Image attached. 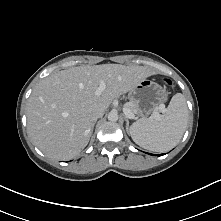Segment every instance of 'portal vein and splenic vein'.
Listing matches in <instances>:
<instances>
[{
    "label": "portal vein and splenic vein",
    "mask_w": 221,
    "mask_h": 221,
    "mask_svg": "<svg viewBox=\"0 0 221 221\" xmlns=\"http://www.w3.org/2000/svg\"><path fill=\"white\" fill-rule=\"evenodd\" d=\"M105 88H106L105 82H104V81H101L100 84H99V87L97 88V90H96V92H95V94H96L97 96L101 95L102 92L105 90ZM162 107H163V106H162ZM159 108H160V107H159ZM123 112H124V114H125V116H126L127 118H129V119H134V118H135L134 114H133L126 106L123 107ZM152 118H154V119H160V118H161V115H160L158 112H155V113L152 115Z\"/></svg>",
    "instance_id": "portal-vein-and-splenic-vein-1"
}]
</instances>
